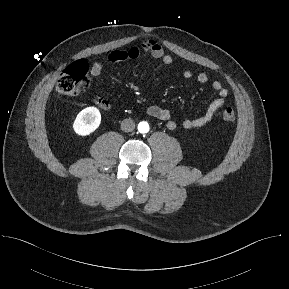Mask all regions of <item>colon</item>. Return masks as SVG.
<instances>
[{
	"mask_svg": "<svg viewBox=\"0 0 289 289\" xmlns=\"http://www.w3.org/2000/svg\"><path fill=\"white\" fill-rule=\"evenodd\" d=\"M90 66L86 61H76L61 74L56 92L60 95L74 96L83 93L89 84ZM224 121L232 123L236 119L235 111L227 107L222 112Z\"/></svg>",
	"mask_w": 289,
	"mask_h": 289,
	"instance_id": "colon-1",
	"label": "colon"
}]
</instances>
